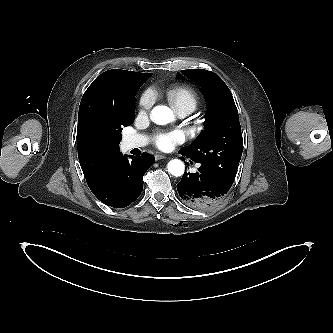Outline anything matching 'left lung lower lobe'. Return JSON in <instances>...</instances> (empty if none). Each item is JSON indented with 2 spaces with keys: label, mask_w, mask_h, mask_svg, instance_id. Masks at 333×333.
Returning a JSON list of instances; mask_svg holds the SVG:
<instances>
[{
  "label": "left lung lower lobe",
  "mask_w": 333,
  "mask_h": 333,
  "mask_svg": "<svg viewBox=\"0 0 333 333\" xmlns=\"http://www.w3.org/2000/svg\"><path fill=\"white\" fill-rule=\"evenodd\" d=\"M184 159V157H181ZM232 185L220 179L209 169L200 166L196 173H184L177 184L180 198L187 205L207 210L215 206Z\"/></svg>",
  "instance_id": "obj_1"
}]
</instances>
